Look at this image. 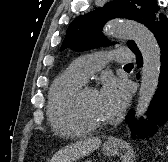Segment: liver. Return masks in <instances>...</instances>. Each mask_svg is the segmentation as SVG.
I'll return each instance as SVG.
<instances>
[{
    "label": "liver",
    "instance_id": "obj_1",
    "mask_svg": "<svg viewBox=\"0 0 168 162\" xmlns=\"http://www.w3.org/2000/svg\"><path fill=\"white\" fill-rule=\"evenodd\" d=\"M101 145L99 138H90L77 141L56 152L49 162H73L87 156Z\"/></svg>",
    "mask_w": 168,
    "mask_h": 162
}]
</instances>
